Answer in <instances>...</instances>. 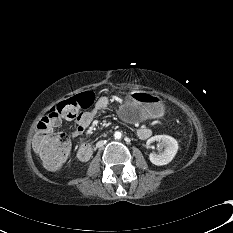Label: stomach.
<instances>
[{
    "mask_svg": "<svg viewBox=\"0 0 233 233\" xmlns=\"http://www.w3.org/2000/svg\"><path fill=\"white\" fill-rule=\"evenodd\" d=\"M128 123L142 122L164 114V105L158 96L144 91L132 92L118 112Z\"/></svg>",
    "mask_w": 233,
    "mask_h": 233,
    "instance_id": "0dacf381",
    "label": "stomach"
}]
</instances>
